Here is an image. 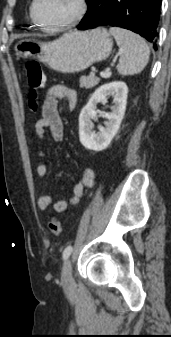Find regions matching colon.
Here are the masks:
<instances>
[{
  "label": "colon",
  "mask_w": 171,
  "mask_h": 337,
  "mask_svg": "<svg viewBox=\"0 0 171 337\" xmlns=\"http://www.w3.org/2000/svg\"><path fill=\"white\" fill-rule=\"evenodd\" d=\"M25 68L27 71V82L30 88V96L32 98V107L35 108V98L37 91L45 86L46 77L42 66L37 60H28L25 63ZM48 228L52 235L58 236L62 232V224L59 219L51 218L48 222Z\"/></svg>",
  "instance_id": "obj_1"
}]
</instances>
